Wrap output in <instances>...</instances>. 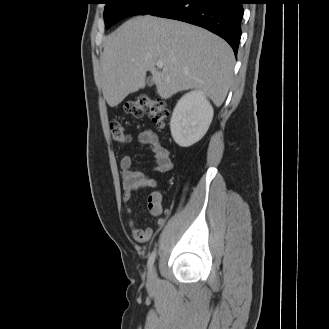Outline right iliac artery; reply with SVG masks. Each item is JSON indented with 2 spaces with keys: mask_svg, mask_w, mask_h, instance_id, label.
I'll list each match as a JSON object with an SVG mask.
<instances>
[{
  "mask_svg": "<svg viewBox=\"0 0 329 329\" xmlns=\"http://www.w3.org/2000/svg\"><path fill=\"white\" fill-rule=\"evenodd\" d=\"M155 258H156V251H153L148 259V263H147V266H148V269L151 270L152 269V266L154 264V261H155Z\"/></svg>",
  "mask_w": 329,
  "mask_h": 329,
  "instance_id": "right-iliac-artery-1",
  "label": "right iliac artery"
}]
</instances>
